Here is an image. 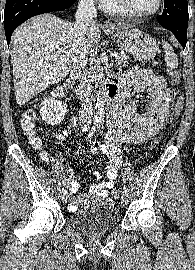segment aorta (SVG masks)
Wrapping results in <instances>:
<instances>
[{
	"label": "aorta",
	"instance_id": "762f6f07",
	"mask_svg": "<svg viewBox=\"0 0 195 270\" xmlns=\"http://www.w3.org/2000/svg\"><path fill=\"white\" fill-rule=\"evenodd\" d=\"M104 106H105V99L101 95H98L96 101V117L103 116Z\"/></svg>",
	"mask_w": 195,
	"mask_h": 270
}]
</instances>
